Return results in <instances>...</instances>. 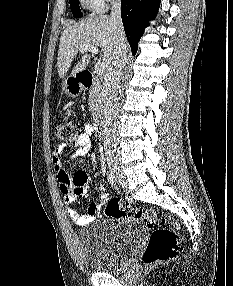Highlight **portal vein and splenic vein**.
<instances>
[{
    "label": "portal vein and splenic vein",
    "mask_w": 233,
    "mask_h": 286,
    "mask_svg": "<svg viewBox=\"0 0 233 286\" xmlns=\"http://www.w3.org/2000/svg\"><path fill=\"white\" fill-rule=\"evenodd\" d=\"M80 51L81 52L89 51L91 53L98 54V49H97V47H94V46H81ZM105 69H106L105 64L103 62L99 61L95 64V72L97 75L104 74Z\"/></svg>",
    "instance_id": "1"
}]
</instances>
